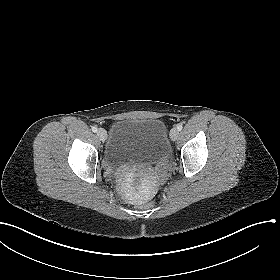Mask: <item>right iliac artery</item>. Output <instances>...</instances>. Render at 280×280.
I'll return each instance as SVG.
<instances>
[{
	"mask_svg": "<svg viewBox=\"0 0 280 280\" xmlns=\"http://www.w3.org/2000/svg\"><path fill=\"white\" fill-rule=\"evenodd\" d=\"M92 131H93V132H97V127H96V126H93V127H92Z\"/></svg>",
	"mask_w": 280,
	"mask_h": 280,
	"instance_id": "obj_1",
	"label": "right iliac artery"
}]
</instances>
